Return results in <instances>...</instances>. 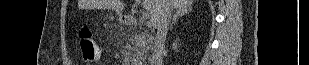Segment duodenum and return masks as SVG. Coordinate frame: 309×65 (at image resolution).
<instances>
[{
    "instance_id": "duodenum-1",
    "label": "duodenum",
    "mask_w": 309,
    "mask_h": 65,
    "mask_svg": "<svg viewBox=\"0 0 309 65\" xmlns=\"http://www.w3.org/2000/svg\"><path fill=\"white\" fill-rule=\"evenodd\" d=\"M123 23H124V25H126L127 27H130V28H134L137 25L136 19L132 16H125L123 18Z\"/></svg>"
}]
</instances>
